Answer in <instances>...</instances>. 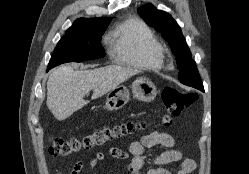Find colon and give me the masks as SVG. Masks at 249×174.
Here are the masks:
<instances>
[{"label": "colon", "mask_w": 249, "mask_h": 174, "mask_svg": "<svg viewBox=\"0 0 249 174\" xmlns=\"http://www.w3.org/2000/svg\"><path fill=\"white\" fill-rule=\"evenodd\" d=\"M161 98L166 110L162 123L167 126L194 104L197 100V94L183 92L174 87H166L162 91ZM145 128V123L129 121L102 126L81 137L69 139L55 137L51 140L49 152L57 157L69 156L103 146L114 140L126 138Z\"/></svg>", "instance_id": "colon-1"}]
</instances>
